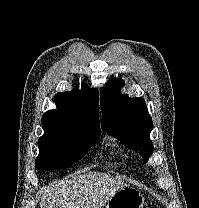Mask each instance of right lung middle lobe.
Returning <instances> with one entry per match:
<instances>
[{"mask_svg":"<svg viewBox=\"0 0 199 208\" xmlns=\"http://www.w3.org/2000/svg\"><path fill=\"white\" fill-rule=\"evenodd\" d=\"M38 140V170L65 169L80 160L100 137L96 129H55L43 127Z\"/></svg>","mask_w":199,"mask_h":208,"instance_id":"dd1d6c3e","label":"right lung middle lobe"}]
</instances>
